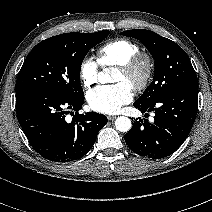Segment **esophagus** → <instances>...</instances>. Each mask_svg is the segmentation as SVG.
Segmentation results:
<instances>
[{
  "label": "esophagus",
  "mask_w": 212,
  "mask_h": 212,
  "mask_svg": "<svg viewBox=\"0 0 212 212\" xmlns=\"http://www.w3.org/2000/svg\"><path fill=\"white\" fill-rule=\"evenodd\" d=\"M117 116H114V115H109L107 116L108 120H114L116 119Z\"/></svg>",
  "instance_id": "34e87169"
}]
</instances>
